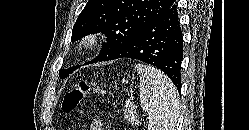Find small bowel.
Listing matches in <instances>:
<instances>
[{
	"mask_svg": "<svg viewBox=\"0 0 249 130\" xmlns=\"http://www.w3.org/2000/svg\"><path fill=\"white\" fill-rule=\"evenodd\" d=\"M90 130H103L101 119L97 118L93 120L90 125Z\"/></svg>",
	"mask_w": 249,
	"mask_h": 130,
	"instance_id": "small-bowel-1",
	"label": "small bowel"
}]
</instances>
